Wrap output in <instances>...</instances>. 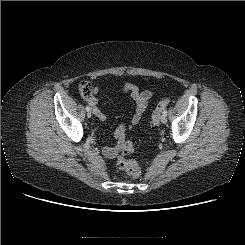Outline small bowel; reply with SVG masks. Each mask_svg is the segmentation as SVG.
<instances>
[{
	"label": "small bowel",
	"mask_w": 245,
	"mask_h": 245,
	"mask_svg": "<svg viewBox=\"0 0 245 245\" xmlns=\"http://www.w3.org/2000/svg\"><path fill=\"white\" fill-rule=\"evenodd\" d=\"M100 87L96 86L93 89V94L87 98V102L92 107L93 113L102 121L106 119V115L97 106L96 94L99 92ZM122 92L130 93L135 101V111L130 121L122 124L116 131V137L118 139L116 146H107L103 149V154L107 158H114L120 149L121 141L124 139V132L131 127L138 124L152 98V93L148 90H140L136 85L132 83H126L121 88Z\"/></svg>",
	"instance_id": "c3829d8e"
}]
</instances>
